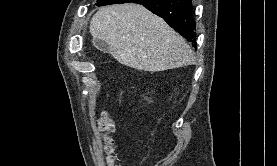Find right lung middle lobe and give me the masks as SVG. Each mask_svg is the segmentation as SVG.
Here are the masks:
<instances>
[{
	"instance_id": "dd1d6c3e",
	"label": "right lung middle lobe",
	"mask_w": 277,
	"mask_h": 166,
	"mask_svg": "<svg viewBox=\"0 0 277 166\" xmlns=\"http://www.w3.org/2000/svg\"><path fill=\"white\" fill-rule=\"evenodd\" d=\"M114 0H100L97 5H109L110 3H112Z\"/></svg>"
}]
</instances>
